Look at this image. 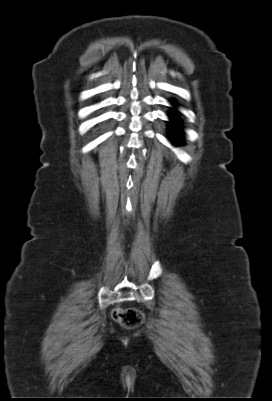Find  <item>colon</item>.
Instances as JSON below:
<instances>
[{"label":"colon","instance_id":"obj_1","mask_svg":"<svg viewBox=\"0 0 272 401\" xmlns=\"http://www.w3.org/2000/svg\"><path fill=\"white\" fill-rule=\"evenodd\" d=\"M113 318L125 328H135L143 321V314L136 308H115Z\"/></svg>","mask_w":272,"mask_h":401}]
</instances>
